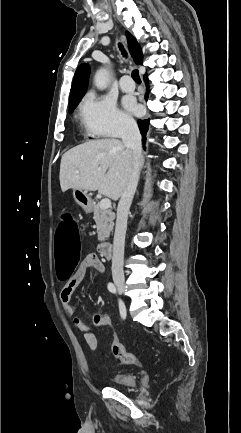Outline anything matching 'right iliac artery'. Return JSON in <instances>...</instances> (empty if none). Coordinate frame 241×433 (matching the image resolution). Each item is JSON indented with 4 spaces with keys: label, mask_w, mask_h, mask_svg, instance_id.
Masks as SVG:
<instances>
[{
    "label": "right iliac artery",
    "mask_w": 241,
    "mask_h": 433,
    "mask_svg": "<svg viewBox=\"0 0 241 433\" xmlns=\"http://www.w3.org/2000/svg\"><path fill=\"white\" fill-rule=\"evenodd\" d=\"M108 290L111 293H114V294L117 293L116 287H115V285L113 283H108ZM119 308H120L121 317L123 319H125V317H126V309H125V306L123 305V303L121 301H119Z\"/></svg>",
    "instance_id": "1"
}]
</instances>
